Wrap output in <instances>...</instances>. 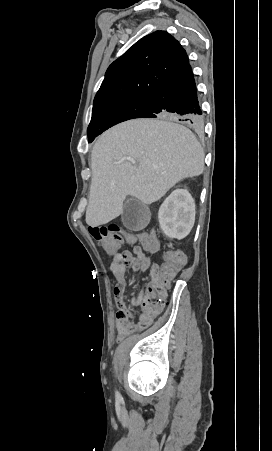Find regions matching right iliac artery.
<instances>
[{"instance_id":"right-iliac-artery-1","label":"right iliac artery","mask_w":272,"mask_h":451,"mask_svg":"<svg viewBox=\"0 0 272 451\" xmlns=\"http://www.w3.org/2000/svg\"><path fill=\"white\" fill-rule=\"evenodd\" d=\"M116 399H121V395L119 394L118 391H116Z\"/></svg>"}]
</instances>
